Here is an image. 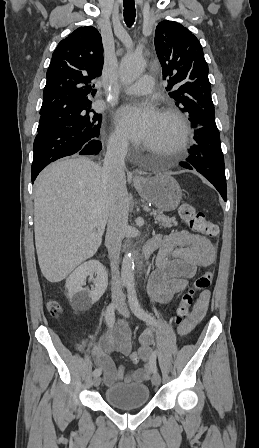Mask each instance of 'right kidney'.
Here are the masks:
<instances>
[{"label":"right kidney","instance_id":"obj_1","mask_svg":"<svg viewBox=\"0 0 259 448\" xmlns=\"http://www.w3.org/2000/svg\"><path fill=\"white\" fill-rule=\"evenodd\" d=\"M93 274H97V278H93ZM87 276H90L89 280L94 282L95 288H92V290L82 288ZM65 286L73 310L75 312H85L103 296L108 286L107 272L99 260H89V262H84V264L78 266L68 276Z\"/></svg>","mask_w":259,"mask_h":448}]
</instances>
